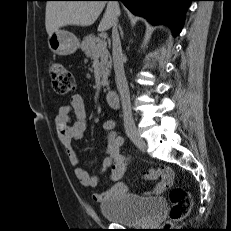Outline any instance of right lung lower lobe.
<instances>
[{
    "mask_svg": "<svg viewBox=\"0 0 231 231\" xmlns=\"http://www.w3.org/2000/svg\"><path fill=\"white\" fill-rule=\"evenodd\" d=\"M105 1V0H103ZM132 13L145 17L153 25L164 24L178 35L184 22L185 10L192 0H117Z\"/></svg>",
    "mask_w": 231,
    "mask_h": 231,
    "instance_id": "98d812e1",
    "label": "right lung lower lobe"
}]
</instances>
